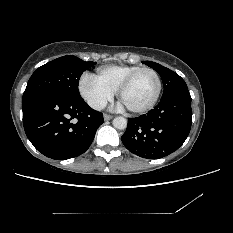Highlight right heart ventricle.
<instances>
[{"label": "right heart ventricle", "instance_id": "1", "mask_svg": "<svg viewBox=\"0 0 233 233\" xmlns=\"http://www.w3.org/2000/svg\"><path fill=\"white\" fill-rule=\"evenodd\" d=\"M143 68L138 65H119V66H108L100 68L96 75L92 77L100 85L116 93L119 86L124 82V80L131 75L133 72Z\"/></svg>", "mask_w": 233, "mask_h": 233}]
</instances>
